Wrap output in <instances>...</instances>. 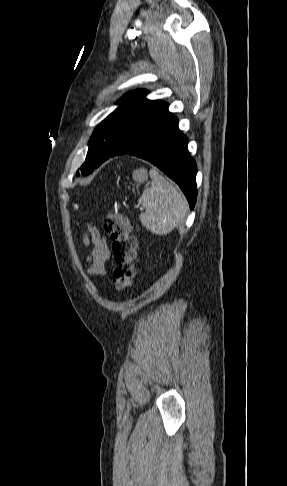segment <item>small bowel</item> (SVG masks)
I'll return each instance as SVG.
<instances>
[{
	"label": "small bowel",
	"instance_id": "small-bowel-1",
	"mask_svg": "<svg viewBox=\"0 0 287 486\" xmlns=\"http://www.w3.org/2000/svg\"><path fill=\"white\" fill-rule=\"evenodd\" d=\"M83 242L85 245H93L91 253L87 258V273L93 276L106 275L107 263L111 258V250L107 240L95 226L87 224L83 234Z\"/></svg>",
	"mask_w": 287,
	"mask_h": 486
}]
</instances>
